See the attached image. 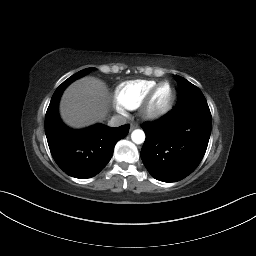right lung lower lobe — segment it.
<instances>
[{
	"instance_id": "right-lung-lower-lobe-1",
	"label": "right lung lower lobe",
	"mask_w": 256,
	"mask_h": 256,
	"mask_svg": "<svg viewBox=\"0 0 256 256\" xmlns=\"http://www.w3.org/2000/svg\"><path fill=\"white\" fill-rule=\"evenodd\" d=\"M64 89L56 90L45 116V133L53 159L69 176L86 179L97 175L110 161L115 144L126 137L129 125L102 124L83 130L66 127L58 115Z\"/></svg>"
}]
</instances>
